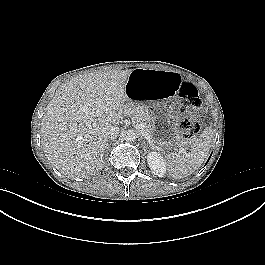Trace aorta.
<instances>
[{
  "instance_id": "obj_1",
  "label": "aorta",
  "mask_w": 265,
  "mask_h": 265,
  "mask_svg": "<svg viewBox=\"0 0 265 265\" xmlns=\"http://www.w3.org/2000/svg\"><path fill=\"white\" fill-rule=\"evenodd\" d=\"M122 137L124 140L126 141H133L136 138V133L134 132V130H126L122 133Z\"/></svg>"
}]
</instances>
